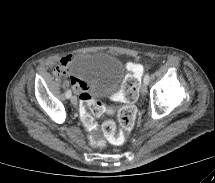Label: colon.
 Wrapping results in <instances>:
<instances>
[{"label":"colon","mask_w":215,"mask_h":183,"mask_svg":"<svg viewBox=\"0 0 215 183\" xmlns=\"http://www.w3.org/2000/svg\"><path fill=\"white\" fill-rule=\"evenodd\" d=\"M60 74L64 71L59 70ZM122 97L125 102L118 109V120L120 125L128 130L133 127L136 120V108L133 102L138 97V78L135 76L127 78L122 86ZM81 101V116L85 126L92 131L90 143L95 147H105L107 142L114 145H120L125 140V135L117 131L116 123L113 120H106L101 125L103 137L96 133L93 116H101L103 114L112 113L111 108L105 107L102 103L93 100L89 95L83 94L80 97Z\"/></svg>","instance_id":"5ec220e1"}]
</instances>
